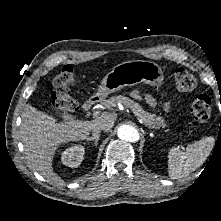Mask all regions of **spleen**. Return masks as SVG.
Masks as SVG:
<instances>
[{
    "label": "spleen",
    "mask_w": 221,
    "mask_h": 221,
    "mask_svg": "<svg viewBox=\"0 0 221 221\" xmlns=\"http://www.w3.org/2000/svg\"><path fill=\"white\" fill-rule=\"evenodd\" d=\"M214 147V138L203 137L189 144L186 151L172 147L168 151V174L171 179H180L189 175L206 161Z\"/></svg>",
    "instance_id": "obj_1"
}]
</instances>
